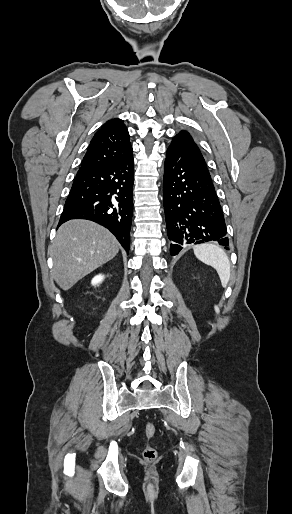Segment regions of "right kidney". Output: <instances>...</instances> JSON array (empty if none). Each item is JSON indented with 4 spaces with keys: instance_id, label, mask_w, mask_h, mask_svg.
<instances>
[{
    "instance_id": "obj_1",
    "label": "right kidney",
    "mask_w": 292,
    "mask_h": 514,
    "mask_svg": "<svg viewBox=\"0 0 292 514\" xmlns=\"http://www.w3.org/2000/svg\"><path fill=\"white\" fill-rule=\"evenodd\" d=\"M104 280V276H101V274H99V276H95V278H93L91 284H93V286H97V284H101V282H103Z\"/></svg>"
}]
</instances>
